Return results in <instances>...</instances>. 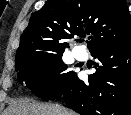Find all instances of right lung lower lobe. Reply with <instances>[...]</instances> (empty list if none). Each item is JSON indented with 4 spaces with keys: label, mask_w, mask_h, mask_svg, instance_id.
Segmentation results:
<instances>
[{
    "label": "right lung lower lobe",
    "mask_w": 131,
    "mask_h": 115,
    "mask_svg": "<svg viewBox=\"0 0 131 115\" xmlns=\"http://www.w3.org/2000/svg\"><path fill=\"white\" fill-rule=\"evenodd\" d=\"M96 72L83 82L75 75L62 92L81 115H131V41L98 49Z\"/></svg>",
    "instance_id": "right-lung-lower-lobe-1"
}]
</instances>
